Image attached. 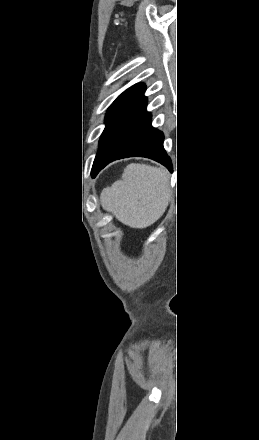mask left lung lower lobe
I'll list each match as a JSON object with an SVG mask.
<instances>
[{"mask_svg":"<svg viewBox=\"0 0 259 440\" xmlns=\"http://www.w3.org/2000/svg\"><path fill=\"white\" fill-rule=\"evenodd\" d=\"M146 105L147 99L142 95L97 157L93 177L108 163L126 157H147L172 171L171 160L163 148L164 135L151 126Z\"/></svg>","mask_w":259,"mask_h":440,"instance_id":"0a47b994","label":"left lung lower lobe"}]
</instances>
